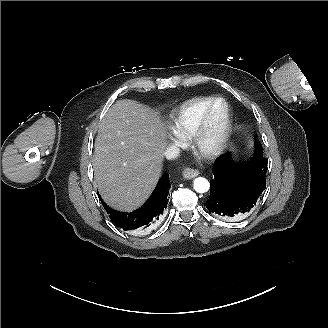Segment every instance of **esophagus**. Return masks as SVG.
<instances>
[{"label":"esophagus","instance_id":"1","mask_svg":"<svg viewBox=\"0 0 328 328\" xmlns=\"http://www.w3.org/2000/svg\"><path fill=\"white\" fill-rule=\"evenodd\" d=\"M200 174V172L196 169H193V168H185L182 172V176L185 178V179H192L196 176H198Z\"/></svg>","mask_w":328,"mask_h":328}]
</instances>
